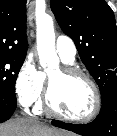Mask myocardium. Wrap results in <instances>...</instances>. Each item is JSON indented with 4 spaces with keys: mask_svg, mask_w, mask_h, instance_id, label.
Returning <instances> with one entry per match:
<instances>
[{
    "mask_svg": "<svg viewBox=\"0 0 117 136\" xmlns=\"http://www.w3.org/2000/svg\"><path fill=\"white\" fill-rule=\"evenodd\" d=\"M61 73L64 77L69 78V77H80L83 78L91 87L93 94H94V106L90 114H88L85 117H71L68 115L63 114L60 112L58 109H56L51 101V88H52V80L49 78L48 84H47V89H46V94H45V107L46 110L62 119L68 122H73V123H87L95 119L100 110H101V105H102V100H101V94L100 90L96 84V82L93 80V78L83 70H81L78 67L75 66H70V65H65L61 68Z\"/></svg>",
    "mask_w": 117,
    "mask_h": 136,
    "instance_id": "myocardium-1",
    "label": "myocardium"
}]
</instances>
